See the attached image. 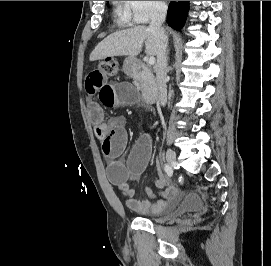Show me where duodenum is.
Returning a JSON list of instances; mask_svg holds the SVG:
<instances>
[{"label":"duodenum","instance_id":"1","mask_svg":"<svg viewBox=\"0 0 271 266\" xmlns=\"http://www.w3.org/2000/svg\"><path fill=\"white\" fill-rule=\"evenodd\" d=\"M127 72L130 76L143 83L144 101L147 104L154 103L158 97L159 86L152 72L138 59L129 60Z\"/></svg>","mask_w":271,"mask_h":266}]
</instances>
